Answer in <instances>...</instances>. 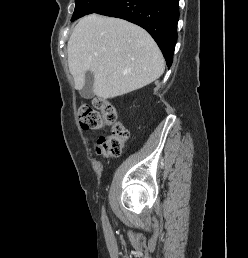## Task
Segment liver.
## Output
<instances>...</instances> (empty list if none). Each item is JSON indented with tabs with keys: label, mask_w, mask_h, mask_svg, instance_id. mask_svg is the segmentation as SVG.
I'll use <instances>...</instances> for the list:
<instances>
[{
	"label": "liver",
	"mask_w": 248,
	"mask_h": 258,
	"mask_svg": "<svg viewBox=\"0 0 248 258\" xmlns=\"http://www.w3.org/2000/svg\"><path fill=\"white\" fill-rule=\"evenodd\" d=\"M75 88L94 74L93 93L111 99L140 89L164 72L163 55L152 37L128 21L91 14L80 19L67 46Z\"/></svg>",
	"instance_id": "obj_1"
}]
</instances>
